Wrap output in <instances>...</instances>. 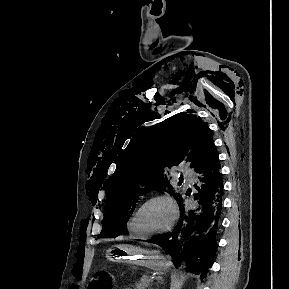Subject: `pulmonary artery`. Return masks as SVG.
Instances as JSON below:
<instances>
[{
  "instance_id": "e3ab8cb5",
  "label": "pulmonary artery",
  "mask_w": 289,
  "mask_h": 289,
  "mask_svg": "<svg viewBox=\"0 0 289 289\" xmlns=\"http://www.w3.org/2000/svg\"><path fill=\"white\" fill-rule=\"evenodd\" d=\"M182 175H183V177L186 178V179H189V178H192V177H193V174H192L186 167H184V168L182 169Z\"/></svg>"
}]
</instances>
